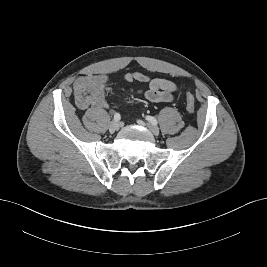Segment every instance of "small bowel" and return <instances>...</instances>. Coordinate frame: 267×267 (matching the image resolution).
I'll list each match as a JSON object with an SVG mask.
<instances>
[{
	"mask_svg": "<svg viewBox=\"0 0 267 267\" xmlns=\"http://www.w3.org/2000/svg\"><path fill=\"white\" fill-rule=\"evenodd\" d=\"M125 81H139L147 83L145 90H132L136 95H142L150 102H171L177 92V86L166 79H151L142 72H130L124 76ZM109 83L106 74H90L77 78L73 84L75 104L78 109L86 110L89 107L104 109L108 107L105 90Z\"/></svg>",
	"mask_w": 267,
	"mask_h": 267,
	"instance_id": "1",
	"label": "small bowel"
}]
</instances>
